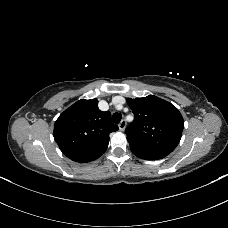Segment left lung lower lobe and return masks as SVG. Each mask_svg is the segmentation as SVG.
I'll return each mask as SVG.
<instances>
[{"instance_id": "left-lung-lower-lobe-1", "label": "left lung lower lobe", "mask_w": 228, "mask_h": 228, "mask_svg": "<svg viewBox=\"0 0 228 228\" xmlns=\"http://www.w3.org/2000/svg\"><path fill=\"white\" fill-rule=\"evenodd\" d=\"M131 151L135 156L145 160H159L167 156V155H164L161 153H155V152H146V151H139V150H133V149H131Z\"/></svg>"}]
</instances>
